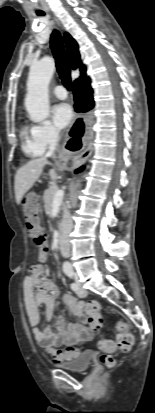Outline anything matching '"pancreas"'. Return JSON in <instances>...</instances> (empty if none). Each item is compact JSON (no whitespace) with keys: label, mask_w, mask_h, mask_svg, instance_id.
Here are the masks:
<instances>
[{"label":"pancreas","mask_w":155,"mask_h":413,"mask_svg":"<svg viewBox=\"0 0 155 413\" xmlns=\"http://www.w3.org/2000/svg\"><path fill=\"white\" fill-rule=\"evenodd\" d=\"M57 191H58V187L55 184H53L44 192L43 200L45 203V211L47 214H49L51 211L54 196ZM61 208L62 209L64 208V204L61 205Z\"/></svg>","instance_id":"obj_1"}]
</instances>
